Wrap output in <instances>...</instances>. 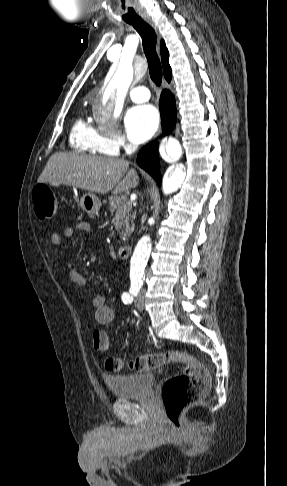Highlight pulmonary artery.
Instances as JSON below:
<instances>
[{
  "label": "pulmonary artery",
  "instance_id": "1",
  "mask_svg": "<svg viewBox=\"0 0 287 486\" xmlns=\"http://www.w3.org/2000/svg\"><path fill=\"white\" fill-rule=\"evenodd\" d=\"M130 99L134 102L141 103L146 102L150 98L148 89L144 86H137L132 88L128 93Z\"/></svg>",
  "mask_w": 287,
  "mask_h": 486
}]
</instances>
